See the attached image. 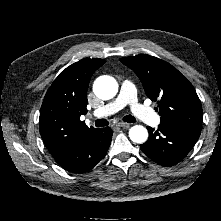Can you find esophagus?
<instances>
[{
    "label": "esophagus",
    "mask_w": 221,
    "mask_h": 221,
    "mask_svg": "<svg viewBox=\"0 0 221 221\" xmlns=\"http://www.w3.org/2000/svg\"><path fill=\"white\" fill-rule=\"evenodd\" d=\"M118 127H124V128H128L130 126V123H126V122H119L117 123Z\"/></svg>",
    "instance_id": "34e87169"
}]
</instances>
